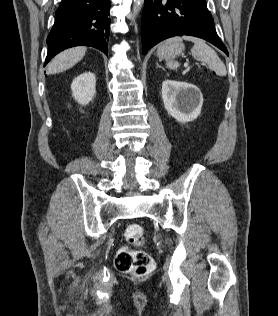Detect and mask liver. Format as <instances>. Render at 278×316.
Wrapping results in <instances>:
<instances>
[{
    "instance_id": "liver-1",
    "label": "liver",
    "mask_w": 278,
    "mask_h": 316,
    "mask_svg": "<svg viewBox=\"0 0 278 316\" xmlns=\"http://www.w3.org/2000/svg\"><path fill=\"white\" fill-rule=\"evenodd\" d=\"M86 47H74L59 53L48 65L47 74H56L72 68L86 53Z\"/></svg>"
}]
</instances>
